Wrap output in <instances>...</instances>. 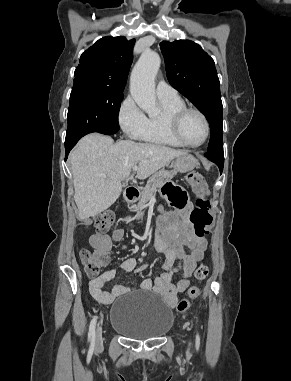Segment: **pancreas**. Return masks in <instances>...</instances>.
Returning a JSON list of instances; mask_svg holds the SVG:
<instances>
[{
	"instance_id": "obj_1",
	"label": "pancreas",
	"mask_w": 291,
	"mask_h": 381,
	"mask_svg": "<svg viewBox=\"0 0 291 381\" xmlns=\"http://www.w3.org/2000/svg\"><path fill=\"white\" fill-rule=\"evenodd\" d=\"M176 175L175 171H167V170H160L156 172L154 175H152L147 185L144 187L140 201L137 205L133 206V209L137 212V215L134 218L127 217L125 221L127 223L131 222L132 220L136 218H140L143 216L142 209L145 208L146 203L150 200V198L156 193L158 188H160L164 182L171 180Z\"/></svg>"
}]
</instances>
